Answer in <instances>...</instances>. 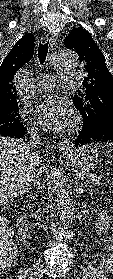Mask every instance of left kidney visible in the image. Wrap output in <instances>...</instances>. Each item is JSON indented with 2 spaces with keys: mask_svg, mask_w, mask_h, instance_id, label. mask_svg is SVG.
Wrapping results in <instances>:
<instances>
[{
  "mask_svg": "<svg viewBox=\"0 0 113 279\" xmlns=\"http://www.w3.org/2000/svg\"><path fill=\"white\" fill-rule=\"evenodd\" d=\"M111 217L106 211L99 213V219L95 224L96 234L101 237L102 234H107L110 229Z\"/></svg>",
  "mask_w": 113,
  "mask_h": 279,
  "instance_id": "1",
  "label": "left kidney"
}]
</instances>
